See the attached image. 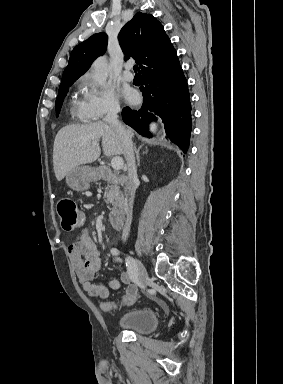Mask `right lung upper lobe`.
Masks as SVG:
<instances>
[{"label":"right lung upper lobe","mask_w":283,"mask_h":384,"mask_svg":"<svg viewBox=\"0 0 283 384\" xmlns=\"http://www.w3.org/2000/svg\"><path fill=\"white\" fill-rule=\"evenodd\" d=\"M118 39L125 59L133 57L140 65V78L165 71L179 62L164 27L151 14H135L121 29ZM107 40V35L100 32L77 45L70 54L61 84L75 82L83 75L93 60L105 53Z\"/></svg>","instance_id":"1"}]
</instances>
